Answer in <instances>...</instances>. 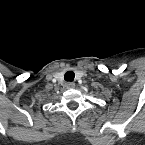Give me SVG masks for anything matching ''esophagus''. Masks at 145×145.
Masks as SVG:
<instances>
[{
  "label": "esophagus",
  "instance_id": "1",
  "mask_svg": "<svg viewBox=\"0 0 145 145\" xmlns=\"http://www.w3.org/2000/svg\"><path fill=\"white\" fill-rule=\"evenodd\" d=\"M65 86H66L67 89H72V88L75 87V84H74L73 82H67V83L65 84Z\"/></svg>",
  "mask_w": 145,
  "mask_h": 145
}]
</instances>
